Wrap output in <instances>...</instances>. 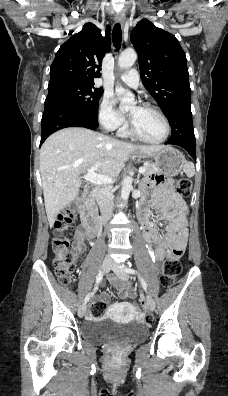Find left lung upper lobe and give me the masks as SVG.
<instances>
[{
	"instance_id": "left-lung-upper-lobe-1",
	"label": "left lung upper lobe",
	"mask_w": 228,
	"mask_h": 396,
	"mask_svg": "<svg viewBox=\"0 0 228 396\" xmlns=\"http://www.w3.org/2000/svg\"><path fill=\"white\" fill-rule=\"evenodd\" d=\"M131 42L138 53L143 85L166 117L179 118V105L191 101V89L186 56L178 40L142 19L131 32Z\"/></svg>"
}]
</instances>
